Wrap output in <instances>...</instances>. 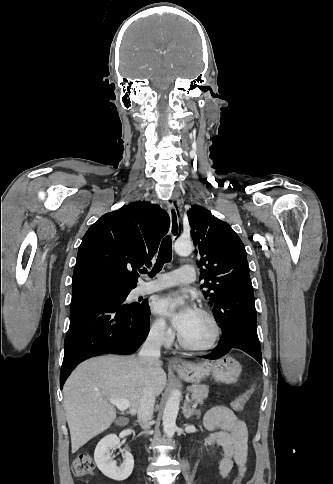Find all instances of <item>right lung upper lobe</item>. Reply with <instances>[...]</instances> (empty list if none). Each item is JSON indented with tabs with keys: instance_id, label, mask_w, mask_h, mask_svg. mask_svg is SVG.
I'll use <instances>...</instances> for the list:
<instances>
[{
	"instance_id": "obj_1",
	"label": "right lung upper lobe",
	"mask_w": 333,
	"mask_h": 484,
	"mask_svg": "<svg viewBox=\"0 0 333 484\" xmlns=\"http://www.w3.org/2000/svg\"><path fill=\"white\" fill-rule=\"evenodd\" d=\"M169 224L168 214L150 202H132L104 214L83 237L72 293L85 289H134L137 270L151 263Z\"/></svg>"
}]
</instances>
